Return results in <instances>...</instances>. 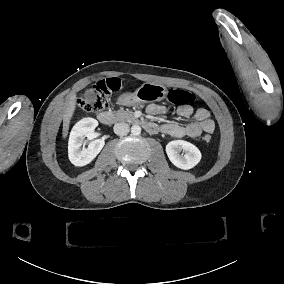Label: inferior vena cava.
<instances>
[{
  "label": "inferior vena cava",
  "mask_w": 284,
  "mask_h": 284,
  "mask_svg": "<svg viewBox=\"0 0 284 284\" xmlns=\"http://www.w3.org/2000/svg\"><path fill=\"white\" fill-rule=\"evenodd\" d=\"M113 129H114V133L120 136H125L130 131L129 125L124 122L116 123Z\"/></svg>",
  "instance_id": "obj_1"
}]
</instances>
